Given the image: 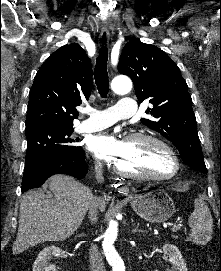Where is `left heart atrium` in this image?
Segmentation results:
<instances>
[{
	"mask_svg": "<svg viewBox=\"0 0 221 271\" xmlns=\"http://www.w3.org/2000/svg\"><path fill=\"white\" fill-rule=\"evenodd\" d=\"M117 135L114 133H102L95 135L88 143L91 152L99 153L100 157H136V152L131 148L123 147V142H116Z\"/></svg>",
	"mask_w": 221,
	"mask_h": 271,
	"instance_id": "1",
	"label": "left heart atrium"
}]
</instances>
